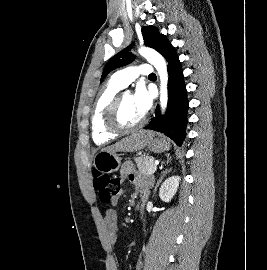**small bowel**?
Returning a JSON list of instances; mask_svg holds the SVG:
<instances>
[{
    "label": "small bowel",
    "instance_id": "small-bowel-1",
    "mask_svg": "<svg viewBox=\"0 0 267 270\" xmlns=\"http://www.w3.org/2000/svg\"><path fill=\"white\" fill-rule=\"evenodd\" d=\"M120 175L123 179L130 180L138 187V196L141 200L147 197L150 181L140 177L131 164H125L120 170ZM116 201L117 198H114L113 202ZM104 224L108 242L111 246H114L118 241V214L115 209H108L106 211Z\"/></svg>",
    "mask_w": 267,
    "mask_h": 270
}]
</instances>
